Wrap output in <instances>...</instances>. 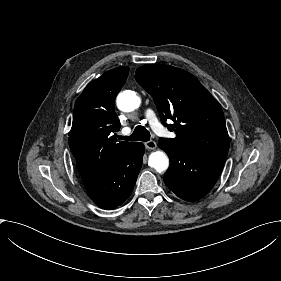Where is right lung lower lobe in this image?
Instances as JSON below:
<instances>
[{
    "mask_svg": "<svg viewBox=\"0 0 281 281\" xmlns=\"http://www.w3.org/2000/svg\"><path fill=\"white\" fill-rule=\"evenodd\" d=\"M143 154V143L134 142L112 167L82 180L88 195L100 208L114 209L130 196Z\"/></svg>",
    "mask_w": 281,
    "mask_h": 281,
    "instance_id": "right-lung-lower-lobe-1",
    "label": "right lung lower lobe"
}]
</instances>
